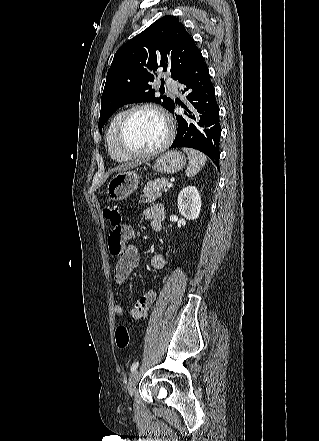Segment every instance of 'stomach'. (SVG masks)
<instances>
[{
	"instance_id": "1",
	"label": "stomach",
	"mask_w": 319,
	"mask_h": 441,
	"mask_svg": "<svg viewBox=\"0 0 319 441\" xmlns=\"http://www.w3.org/2000/svg\"><path fill=\"white\" fill-rule=\"evenodd\" d=\"M185 156L177 151L171 150L161 155L154 163V169L160 173H175L184 167ZM139 175L133 170H124L114 175L106 189V194L113 201L127 198L138 188Z\"/></svg>"
}]
</instances>
